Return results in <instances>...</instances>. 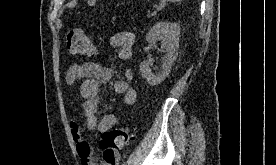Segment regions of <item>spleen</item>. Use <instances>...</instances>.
I'll return each instance as SVG.
<instances>
[{
  "mask_svg": "<svg viewBox=\"0 0 276 165\" xmlns=\"http://www.w3.org/2000/svg\"><path fill=\"white\" fill-rule=\"evenodd\" d=\"M168 1L176 2V1H180V0H168Z\"/></svg>",
  "mask_w": 276,
  "mask_h": 165,
  "instance_id": "spleen-1",
  "label": "spleen"
}]
</instances>
